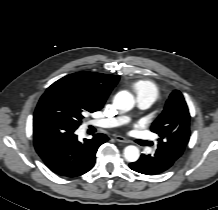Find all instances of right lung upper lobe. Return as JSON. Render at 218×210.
<instances>
[{
	"instance_id": "obj_1",
	"label": "right lung upper lobe",
	"mask_w": 218,
	"mask_h": 210,
	"mask_svg": "<svg viewBox=\"0 0 218 210\" xmlns=\"http://www.w3.org/2000/svg\"><path fill=\"white\" fill-rule=\"evenodd\" d=\"M118 81L119 77L116 75L81 71L67 75L55 83L84 98L98 111Z\"/></svg>"
}]
</instances>
